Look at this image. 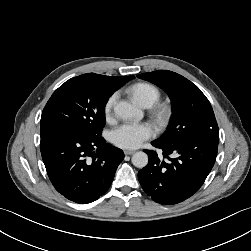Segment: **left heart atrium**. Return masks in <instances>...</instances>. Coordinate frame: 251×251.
<instances>
[{
	"label": "left heart atrium",
	"instance_id": "39dd6f15",
	"mask_svg": "<svg viewBox=\"0 0 251 251\" xmlns=\"http://www.w3.org/2000/svg\"><path fill=\"white\" fill-rule=\"evenodd\" d=\"M154 134L155 130L149 123H124L112 131L111 138L118 147L134 149Z\"/></svg>",
	"mask_w": 251,
	"mask_h": 251
}]
</instances>
